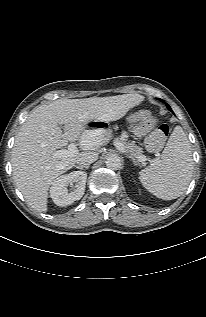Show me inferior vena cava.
I'll list each match as a JSON object with an SVG mask.
<instances>
[{"label": "inferior vena cava", "instance_id": "602c4592", "mask_svg": "<svg viewBox=\"0 0 206 317\" xmlns=\"http://www.w3.org/2000/svg\"><path fill=\"white\" fill-rule=\"evenodd\" d=\"M98 159V154L95 152H84L77 158V164L79 167L90 165Z\"/></svg>", "mask_w": 206, "mask_h": 317}]
</instances>
